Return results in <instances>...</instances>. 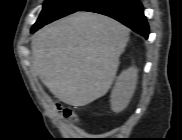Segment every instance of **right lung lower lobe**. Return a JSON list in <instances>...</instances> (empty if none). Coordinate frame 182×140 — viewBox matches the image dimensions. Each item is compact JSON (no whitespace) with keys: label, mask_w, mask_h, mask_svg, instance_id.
I'll use <instances>...</instances> for the list:
<instances>
[{"label":"right lung lower lobe","mask_w":182,"mask_h":140,"mask_svg":"<svg viewBox=\"0 0 182 140\" xmlns=\"http://www.w3.org/2000/svg\"><path fill=\"white\" fill-rule=\"evenodd\" d=\"M78 11H89L112 17L136 33L148 38L149 26L139 0H92ZM37 29H32V32Z\"/></svg>","instance_id":"obj_1"}]
</instances>
